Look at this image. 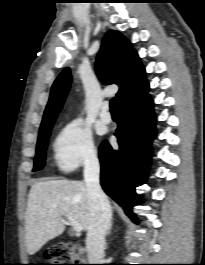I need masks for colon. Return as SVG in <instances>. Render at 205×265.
Returning <instances> with one entry per match:
<instances>
[{
  "instance_id": "colon-1",
  "label": "colon",
  "mask_w": 205,
  "mask_h": 265,
  "mask_svg": "<svg viewBox=\"0 0 205 265\" xmlns=\"http://www.w3.org/2000/svg\"><path fill=\"white\" fill-rule=\"evenodd\" d=\"M82 255L83 251L81 249H75L70 244H57L46 252L45 258L51 263L46 265H79L70 263L78 262Z\"/></svg>"
}]
</instances>
